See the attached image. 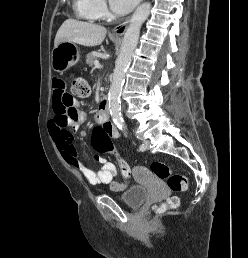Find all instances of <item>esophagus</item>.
<instances>
[{"mask_svg": "<svg viewBox=\"0 0 248 258\" xmlns=\"http://www.w3.org/2000/svg\"><path fill=\"white\" fill-rule=\"evenodd\" d=\"M141 1H143V0H141ZM129 22H130V17H128L124 22H122L118 26L114 27L112 30V33L117 36L123 35L129 25Z\"/></svg>", "mask_w": 248, "mask_h": 258, "instance_id": "esophagus-1", "label": "esophagus"}]
</instances>
